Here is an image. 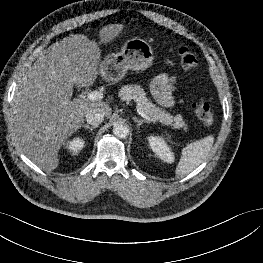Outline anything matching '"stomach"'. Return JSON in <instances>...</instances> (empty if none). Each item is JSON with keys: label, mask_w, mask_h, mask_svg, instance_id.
<instances>
[{"label": "stomach", "mask_w": 263, "mask_h": 263, "mask_svg": "<svg viewBox=\"0 0 263 263\" xmlns=\"http://www.w3.org/2000/svg\"><path fill=\"white\" fill-rule=\"evenodd\" d=\"M154 60L153 49L140 38L125 42L118 53L107 55L100 64V75L108 81H119L128 70L144 71L151 67Z\"/></svg>", "instance_id": "1"}]
</instances>
